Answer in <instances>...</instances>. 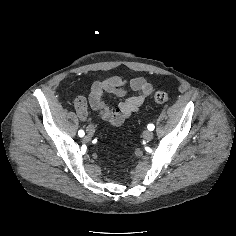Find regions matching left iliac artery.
<instances>
[{
  "label": "left iliac artery",
  "instance_id": "left-iliac-artery-1",
  "mask_svg": "<svg viewBox=\"0 0 236 236\" xmlns=\"http://www.w3.org/2000/svg\"><path fill=\"white\" fill-rule=\"evenodd\" d=\"M147 128L148 130L153 131L155 126L153 124H148Z\"/></svg>",
  "mask_w": 236,
  "mask_h": 236
}]
</instances>
